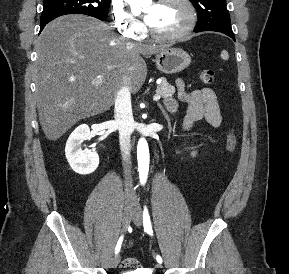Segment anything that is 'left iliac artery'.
Returning <instances> with one entry per match:
<instances>
[{
  "mask_svg": "<svg viewBox=\"0 0 289 274\" xmlns=\"http://www.w3.org/2000/svg\"><path fill=\"white\" fill-rule=\"evenodd\" d=\"M143 226H144V231L146 233H148L150 236H153L151 220H150L149 212H148V209H147L146 205L144 206V210H143ZM156 260L160 264L163 261L160 255L156 256Z\"/></svg>",
  "mask_w": 289,
  "mask_h": 274,
  "instance_id": "obj_1",
  "label": "left iliac artery"
}]
</instances>
